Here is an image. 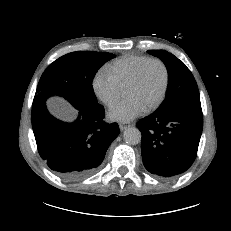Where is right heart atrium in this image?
Here are the masks:
<instances>
[{"instance_id":"obj_1","label":"right heart atrium","mask_w":231,"mask_h":231,"mask_svg":"<svg viewBox=\"0 0 231 231\" xmlns=\"http://www.w3.org/2000/svg\"><path fill=\"white\" fill-rule=\"evenodd\" d=\"M93 90L96 96L107 106L113 104L122 91L106 68H102L96 73L93 79Z\"/></svg>"}]
</instances>
